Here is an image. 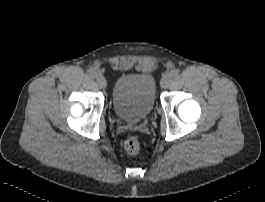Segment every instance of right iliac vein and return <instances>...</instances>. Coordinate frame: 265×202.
Segmentation results:
<instances>
[{
  "label": "right iliac vein",
  "mask_w": 265,
  "mask_h": 202,
  "mask_svg": "<svg viewBox=\"0 0 265 202\" xmlns=\"http://www.w3.org/2000/svg\"><path fill=\"white\" fill-rule=\"evenodd\" d=\"M95 78L98 87L104 89L107 86L106 79L101 74H96Z\"/></svg>",
  "instance_id": "obj_1"
}]
</instances>
